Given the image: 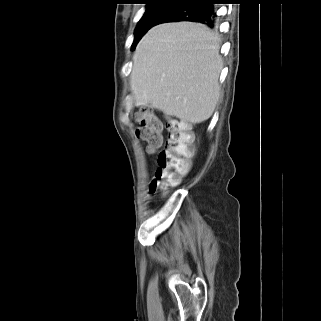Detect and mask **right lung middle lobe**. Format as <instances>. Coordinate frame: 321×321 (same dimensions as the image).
I'll list each match as a JSON object with an SVG mask.
<instances>
[{
    "label": "right lung middle lobe",
    "mask_w": 321,
    "mask_h": 321,
    "mask_svg": "<svg viewBox=\"0 0 321 321\" xmlns=\"http://www.w3.org/2000/svg\"><path fill=\"white\" fill-rule=\"evenodd\" d=\"M174 6L175 2L172 0H157L147 4L146 10L136 27L132 49L136 47L139 40L150 28L157 25L162 15Z\"/></svg>",
    "instance_id": "obj_1"
}]
</instances>
